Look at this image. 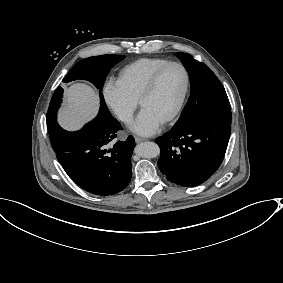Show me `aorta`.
<instances>
[{
    "mask_svg": "<svg viewBox=\"0 0 283 283\" xmlns=\"http://www.w3.org/2000/svg\"><path fill=\"white\" fill-rule=\"evenodd\" d=\"M135 153L144 158H155L160 154V148L156 143L148 141L138 144Z\"/></svg>",
    "mask_w": 283,
    "mask_h": 283,
    "instance_id": "obj_1",
    "label": "aorta"
}]
</instances>
